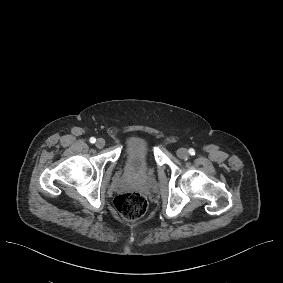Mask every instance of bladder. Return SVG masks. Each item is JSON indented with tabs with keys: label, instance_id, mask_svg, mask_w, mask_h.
I'll return each instance as SVG.
<instances>
[{
	"label": "bladder",
	"instance_id": "1",
	"mask_svg": "<svg viewBox=\"0 0 283 283\" xmlns=\"http://www.w3.org/2000/svg\"><path fill=\"white\" fill-rule=\"evenodd\" d=\"M129 142L132 146L129 148L127 154L125 155V162L127 163H137L135 158H130L135 150H144L146 153L149 152V144L145 137L139 135H132L129 137Z\"/></svg>",
	"mask_w": 283,
	"mask_h": 283
}]
</instances>
